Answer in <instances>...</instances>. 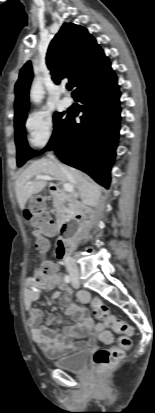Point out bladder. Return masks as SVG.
<instances>
[{
	"label": "bladder",
	"instance_id": "bladder-1",
	"mask_svg": "<svg viewBox=\"0 0 155 413\" xmlns=\"http://www.w3.org/2000/svg\"><path fill=\"white\" fill-rule=\"evenodd\" d=\"M89 351L83 350L73 355L56 359L53 364L55 367L74 373H82L88 366Z\"/></svg>",
	"mask_w": 155,
	"mask_h": 413
}]
</instances>
